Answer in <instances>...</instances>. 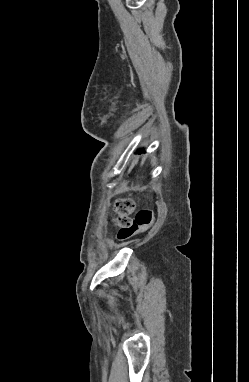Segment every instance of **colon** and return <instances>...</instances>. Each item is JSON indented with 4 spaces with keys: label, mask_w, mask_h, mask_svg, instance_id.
I'll return each mask as SVG.
<instances>
[{
    "label": "colon",
    "mask_w": 249,
    "mask_h": 382,
    "mask_svg": "<svg viewBox=\"0 0 249 382\" xmlns=\"http://www.w3.org/2000/svg\"><path fill=\"white\" fill-rule=\"evenodd\" d=\"M131 198L121 197L114 202L113 224L117 229L116 238L119 242H125L137 233L145 231L153 222V211L141 209L134 217L131 213L134 209Z\"/></svg>",
    "instance_id": "1"
}]
</instances>
